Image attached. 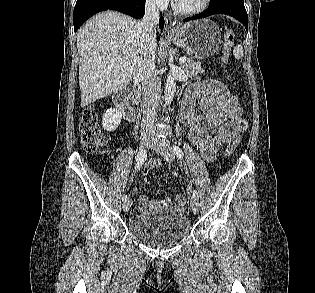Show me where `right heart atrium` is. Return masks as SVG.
<instances>
[{
    "label": "right heart atrium",
    "mask_w": 315,
    "mask_h": 293,
    "mask_svg": "<svg viewBox=\"0 0 315 293\" xmlns=\"http://www.w3.org/2000/svg\"><path fill=\"white\" fill-rule=\"evenodd\" d=\"M148 1L160 9H164L168 5V2H169V0H148Z\"/></svg>",
    "instance_id": "1"
}]
</instances>
